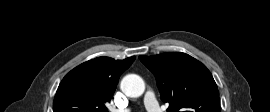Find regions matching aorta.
Here are the masks:
<instances>
[{
  "label": "aorta",
  "mask_w": 270,
  "mask_h": 112,
  "mask_svg": "<svg viewBox=\"0 0 270 112\" xmlns=\"http://www.w3.org/2000/svg\"><path fill=\"white\" fill-rule=\"evenodd\" d=\"M120 87L125 95L136 98L144 93L145 83L139 75L128 74L122 79Z\"/></svg>",
  "instance_id": "obj_1"
}]
</instances>
